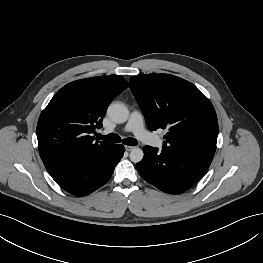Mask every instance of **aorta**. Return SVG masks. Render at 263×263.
<instances>
[{
    "mask_svg": "<svg viewBox=\"0 0 263 263\" xmlns=\"http://www.w3.org/2000/svg\"><path fill=\"white\" fill-rule=\"evenodd\" d=\"M108 116L116 123H124L129 118V110L125 104L121 102H113L107 110ZM144 157V153L140 148H133L130 152V160L133 163L140 162Z\"/></svg>",
    "mask_w": 263,
    "mask_h": 263,
    "instance_id": "1",
    "label": "aorta"
}]
</instances>
